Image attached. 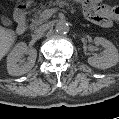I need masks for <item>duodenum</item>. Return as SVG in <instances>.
<instances>
[{"label": "duodenum", "instance_id": "1", "mask_svg": "<svg viewBox=\"0 0 119 119\" xmlns=\"http://www.w3.org/2000/svg\"><path fill=\"white\" fill-rule=\"evenodd\" d=\"M26 11L23 6L17 8L15 13V19L17 22L16 33L19 36H22L26 32Z\"/></svg>", "mask_w": 119, "mask_h": 119}]
</instances>
